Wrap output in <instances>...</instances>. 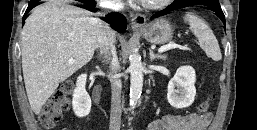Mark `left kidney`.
Wrapping results in <instances>:
<instances>
[{
	"label": "left kidney",
	"mask_w": 257,
	"mask_h": 130,
	"mask_svg": "<svg viewBox=\"0 0 257 130\" xmlns=\"http://www.w3.org/2000/svg\"><path fill=\"white\" fill-rule=\"evenodd\" d=\"M196 74L191 66H181L168 84L167 100L176 109L189 107L195 99Z\"/></svg>",
	"instance_id": "5707ae66"
}]
</instances>
